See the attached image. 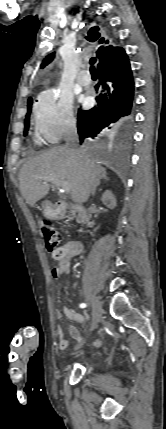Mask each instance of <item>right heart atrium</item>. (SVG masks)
<instances>
[{
    "mask_svg": "<svg viewBox=\"0 0 166 429\" xmlns=\"http://www.w3.org/2000/svg\"><path fill=\"white\" fill-rule=\"evenodd\" d=\"M35 132L46 142L56 143L76 127L72 100L57 89L45 91L33 110Z\"/></svg>",
    "mask_w": 166,
    "mask_h": 429,
    "instance_id": "obj_1",
    "label": "right heart atrium"
}]
</instances>
